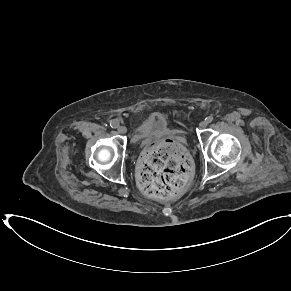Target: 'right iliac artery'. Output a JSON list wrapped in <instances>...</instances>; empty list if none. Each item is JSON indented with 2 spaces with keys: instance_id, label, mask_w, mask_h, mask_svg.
<instances>
[{
  "instance_id": "obj_1",
  "label": "right iliac artery",
  "mask_w": 291,
  "mask_h": 291,
  "mask_svg": "<svg viewBox=\"0 0 291 291\" xmlns=\"http://www.w3.org/2000/svg\"><path fill=\"white\" fill-rule=\"evenodd\" d=\"M110 126H111V128H117L119 126V122L116 120H111Z\"/></svg>"
}]
</instances>
